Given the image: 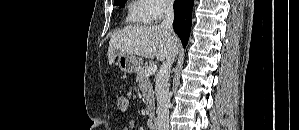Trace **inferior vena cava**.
<instances>
[{
    "label": "inferior vena cava",
    "mask_w": 299,
    "mask_h": 130,
    "mask_svg": "<svg viewBox=\"0 0 299 130\" xmlns=\"http://www.w3.org/2000/svg\"><path fill=\"white\" fill-rule=\"evenodd\" d=\"M173 21V2L169 1L164 6V19L160 26L168 30L172 36L174 35L172 28ZM177 54L178 50L174 49L166 61L162 63L160 70L156 75L155 92L157 98L158 130H169L170 94L168 80L172 64Z\"/></svg>",
    "instance_id": "inferior-vena-cava-1"
}]
</instances>
